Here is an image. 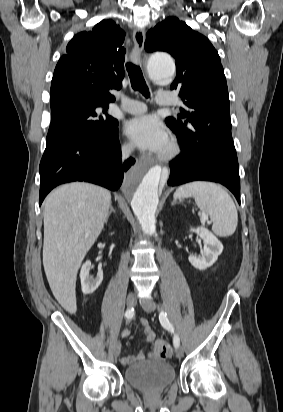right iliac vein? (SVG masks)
Segmentation results:
<instances>
[{
  "label": "right iliac vein",
  "mask_w": 283,
  "mask_h": 412,
  "mask_svg": "<svg viewBox=\"0 0 283 412\" xmlns=\"http://www.w3.org/2000/svg\"><path fill=\"white\" fill-rule=\"evenodd\" d=\"M136 303V294L132 292L127 297V306L133 307ZM121 352V342L119 340L115 341L113 345V353L115 357H118Z\"/></svg>",
  "instance_id": "obj_1"
}]
</instances>
